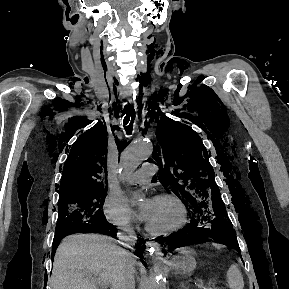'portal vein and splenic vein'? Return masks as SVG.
Wrapping results in <instances>:
<instances>
[{
  "label": "portal vein and splenic vein",
  "mask_w": 289,
  "mask_h": 289,
  "mask_svg": "<svg viewBox=\"0 0 289 289\" xmlns=\"http://www.w3.org/2000/svg\"><path fill=\"white\" fill-rule=\"evenodd\" d=\"M197 287H198L199 289H205V287H204V281H203V280H199V281L197 282Z\"/></svg>",
  "instance_id": "obj_1"
}]
</instances>
